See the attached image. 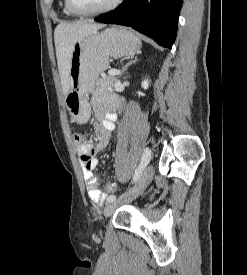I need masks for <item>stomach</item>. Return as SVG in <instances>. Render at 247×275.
<instances>
[{
    "mask_svg": "<svg viewBox=\"0 0 247 275\" xmlns=\"http://www.w3.org/2000/svg\"><path fill=\"white\" fill-rule=\"evenodd\" d=\"M141 41L131 31L110 27L78 40L70 59V90L65 105L72 119L86 123L90 106L86 95L93 91L101 72L109 67L110 58L133 56L139 52Z\"/></svg>",
    "mask_w": 247,
    "mask_h": 275,
    "instance_id": "stomach-1",
    "label": "stomach"
}]
</instances>
